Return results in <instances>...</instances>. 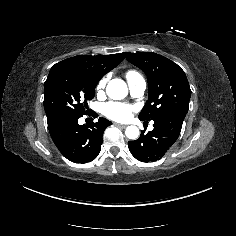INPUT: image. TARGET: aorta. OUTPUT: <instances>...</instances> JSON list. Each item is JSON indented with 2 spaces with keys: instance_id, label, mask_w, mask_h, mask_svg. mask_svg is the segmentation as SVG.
<instances>
[{
  "instance_id": "obj_1",
  "label": "aorta",
  "mask_w": 236,
  "mask_h": 236,
  "mask_svg": "<svg viewBox=\"0 0 236 236\" xmlns=\"http://www.w3.org/2000/svg\"><path fill=\"white\" fill-rule=\"evenodd\" d=\"M121 86H126L125 82L120 79H113L109 82L107 86V94L114 99V94H119V89ZM140 134V131L137 126L129 125L125 129V135L127 138L135 140Z\"/></svg>"
}]
</instances>
